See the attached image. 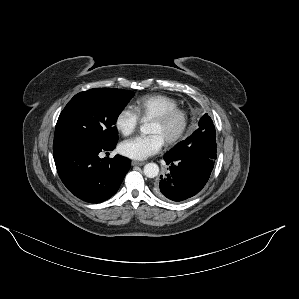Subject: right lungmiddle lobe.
I'll return each instance as SVG.
<instances>
[{
  "label": "right lung middle lobe",
  "mask_w": 299,
  "mask_h": 299,
  "mask_svg": "<svg viewBox=\"0 0 299 299\" xmlns=\"http://www.w3.org/2000/svg\"><path fill=\"white\" fill-rule=\"evenodd\" d=\"M134 96L132 91L97 88L75 95L61 112L54 134L53 150L73 145L114 147L119 114Z\"/></svg>",
  "instance_id": "right-lung-middle-lobe-1"
}]
</instances>
